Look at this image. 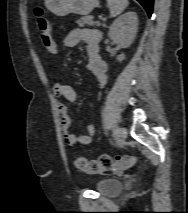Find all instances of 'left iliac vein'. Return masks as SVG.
<instances>
[{"instance_id": "1", "label": "left iliac vein", "mask_w": 188, "mask_h": 213, "mask_svg": "<svg viewBox=\"0 0 188 213\" xmlns=\"http://www.w3.org/2000/svg\"><path fill=\"white\" fill-rule=\"evenodd\" d=\"M118 135L121 138V140H124L126 138V136H127V130H126V128L120 127L118 129Z\"/></svg>"}]
</instances>
